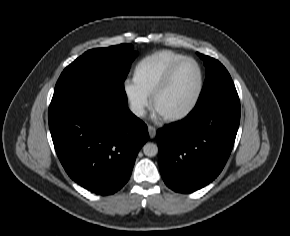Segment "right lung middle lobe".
Segmentation results:
<instances>
[{"label": "right lung middle lobe", "instance_id": "1", "mask_svg": "<svg viewBox=\"0 0 290 236\" xmlns=\"http://www.w3.org/2000/svg\"><path fill=\"white\" fill-rule=\"evenodd\" d=\"M137 56L131 44L85 52L60 75L52 102L74 100L91 104L127 102L124 81Z\"/></svg>", "mask_w": 290, "mask_h": 236}]
</instances>
